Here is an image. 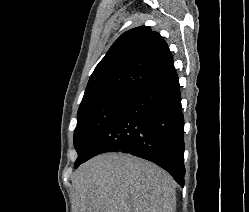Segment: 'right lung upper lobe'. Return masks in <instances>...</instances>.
I'll return each mask as SVG.
<instances>
[{"label":"right lung upper lobe","instance_id":"1","mask_svg":"<svg viewBox=\"0 0 249 212\" xmlns=\"http://www.w3.org/2000/svg\"><path fill=\"white\" fill-rule=\"evenodd\" d=\"M175 73L166 42L150 27L122 34L93 71L82 102L115 91L141 93Z\"/></svg>","mask_w":249,"mask_h":212}]
</instances>
